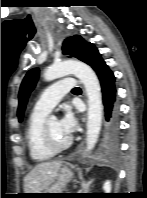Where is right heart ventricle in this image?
Segmentation results:
<instances>
[{
  "mask_svg": "<svg viewBox=\"0 0 147 198\" xmlns=\"http://www.w3.org/2000/svg\"><path fill=\"white\" fill-rule=\"evenodd\" d=\"M46 115L47 113L45 112L33 110L25 129V140L29 155L36 163L48 161L53 157V154L46 149L42 138V129Z\"/></svg>",
  "mask_w": 147,
  "mask_h": 198,
  "instance_id": "e07e8e85",
  "label": "right heart ventricle"
}]
</instances>
